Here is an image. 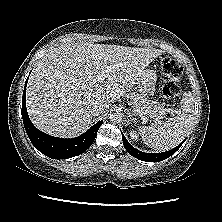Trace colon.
Returning <instances> with one entry per match:
<instances>
[{
    "instance_id": "obj_1",
    "label": "colon",
    "mask_w": 222,
    "mask_h": 222,
    "mask_svg": "<svg viewBox=\"0 0 222 222\" xmlns=\"http://www.w3.org/2000/svg\"><path fill=\"white\" fill-rule=\"evenodd\" d=\"M160 66L164 76L162 96L166 100H173L180 94L179 82L183 69L178 63L168 56H163L161 58Z\"/></svg>"
}]
</instances>
